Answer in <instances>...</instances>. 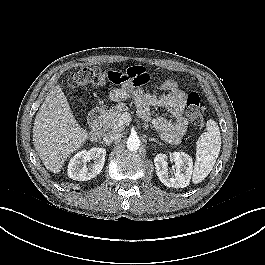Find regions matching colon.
<instances>
[{
  "instance_id": "obj_1",
  "label": "colon",
  "mask_w": 265,
  "mask_h": 265,
  "mask_svg": "<svg viewBox=\"0 0 265 265\" xmlns=\"http://www.w3.org/2000/svg\"><path fill=\"white\" fill-rule=\"evenodd\" d=\"M126 82L143 85L146 83V80L134 68H130L123 73L100 67H84L71 75L69 87L75 90L88 85L119 86ZM185 111L192 124H200L203 121V109L198 93L191 92L188 94Z\"/></svg>"
}]
</instances>
